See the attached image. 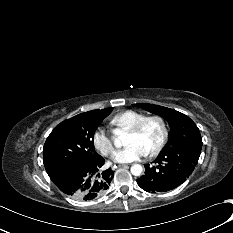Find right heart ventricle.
<instances>
[{"mask_svg":"<svg viewBox=\"0 0 233 233\" xmlns=\"http://www.w3.org/2000/svg\"><path fill=\"white\" fill-rule=\"evenodd\" d=\"M144 117H146V115L142 112L136 110H125L116 114L111 119V124L115 127L116 130H128Z\"/></svg>","mask_w":233,"mask_h":233,"instance_id":"e07e8e85","label":"right heart ventricle"}]
</instances>
